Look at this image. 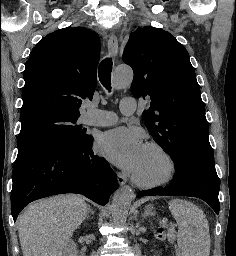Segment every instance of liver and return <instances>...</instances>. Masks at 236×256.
<instances>
[{"mask_svg":"<svg viewBox=\"0 0 236 256\" xmlns=\"http://www.w3.org/2000/svg\"><path fill=\"white\" fill-rule=\"evenodd\" d=\"M90 206L80 196H55L33 202L18 218L23 256H66L70 238Z\"/></svg>","mask_w":236,"mask_h":256,"instance_id":"obj_1","label":"liver"}]
</instances>
